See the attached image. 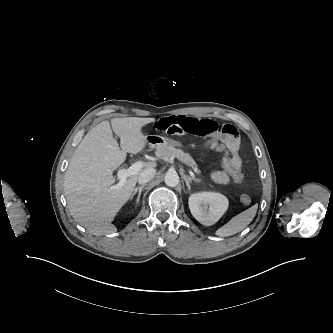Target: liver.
<instances>
[{
	"mask_svg": "<svg viewBox=\"0 0 333 333\" xmlns=\"http://www.w3.org/2000/svg\"><path fill=\"white\" fill-rule=\"evenodd\" d=\"M154 121L139 117L113 118L111 125L103 121L90 129L77 146L64 177V194L74 220L91 234L117 231L112 221L131 197L140 173L156 168L155 161L142 162L143 168L124 186L113 185V171L125 161L127 153L136 154L146 147L142 127ZM112 130L120 137L121 148Z\"/></svg>",
	"mask_w": 333,
	"mask_h": 333,
	"instance_id": "liver-1",
	"label": "liver"
}]
</instances>
